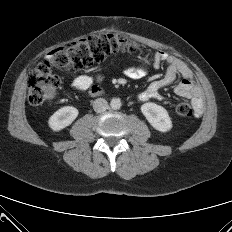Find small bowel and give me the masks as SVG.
<instances>
[{
  "label": "small bowel",
  "mask_w": 232,
  "mask_h": 232,
  "mask_svg": "<svg viewBox=\"0 0 232 232\" xmlns=\"http://www.w3.org/2000/svg\"><path fill=\"white\" fill-rule=\"evenodd\" d=\"M163 63L167 64L164 76L153 81L139 94L138 98L141 101L160 99L162 97L161 90L173 84L177 77L180 76L182 79L175 86L174 91L178 96L191 100L195 115L200 116L203 111L202 93L194 82L193 72L190 67L182 59L159 51L154 56L153 66L159 68ZM148 68L149 63L144 60L138 64L128 66L124 73L129 79L139 80L146 76ZM101 80V75L73 74L70 76V86L74 91L84 93L96 88Z\"/></svg>",
  "instance_id": "small-bowel-1"
}]
</instances>
